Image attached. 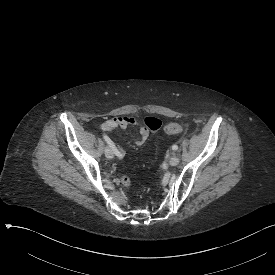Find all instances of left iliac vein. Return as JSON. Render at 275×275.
<instances>
[{
	"label": "left iliac vein",
	"mask_w": 275,
	"mask_h": 275,
	"mask_svg": "<svg viewBox=\"0 0 275 275\" xmlns=\"http://www.w3.org/2000/svg\"><path fill=\"white\" fill-rule=\"evenodd\" d=\"M179 163V158L177 157L176 154L172 155L171 158L169 159V164L171 166H176Z\"/></svg>",
	"instance_id": "1"
}]
</instances>
